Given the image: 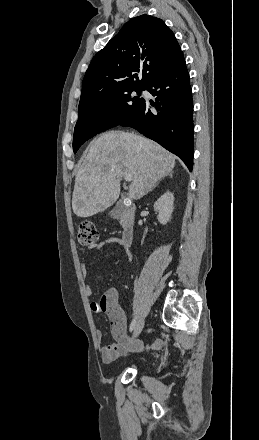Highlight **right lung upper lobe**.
Returning a JSON list of instances; mask_svg holds the SVG:
<instances>
[{
	"label": "right lung upper lobe",
	"mask_w": 259,
	"mask_h": 440,
	"mask_svg": "<svg viewBox=\"0 0 259 440\" xmlns=\"http://www.w3.org/2000/svg\"><path fill=\"white\" fill-rule=\"evenodd\" d=\"M181 54L173 32L161 19L146 14L132 18L93 57L82 82L78 109L119 91L146 88Z\"/></svg>",
	"instance_id": "right-lung-upper-lobe-1"
}]
</instances>
